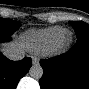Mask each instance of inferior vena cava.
Wrapping results in <instances>:
<instances>
[{
	"instance_id": "inferior-vena-cava-1",
	"label": "inferior vena cava",
	"mask_w": 89,
	"mask_h": 89,
	"mask_svg": "<svg viewBox=\"0 0 89 89\" xmlns=\"http://www.w3.org/2000/svg\"><path fill=\"white\" fill-rule=\"evenodd\" d=\"M5 55L11 60H21L24 58L25 52L18 47H11L6 50Z\"/></svg>"
}]
</instances>
